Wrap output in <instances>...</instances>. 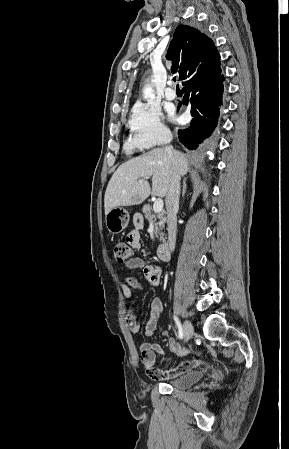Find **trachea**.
Returning <instances> with one entry per match:
<instances>
[{"label": "trachea", "instance_id": "trachea-1", "mask_svg": "<svg viewBox=\"0 0 289 449\" xmlns=\"http://www.w3.org/2000/svg\"><path fill=\"white\" fill-rule=\"evenodd\" d=\"M174 81H176V80H175V78H174ZM177 88H179V86H178V85H177Z\"/></svg>", "mask_w": 289, "mask_h": 449}]
</instances>
